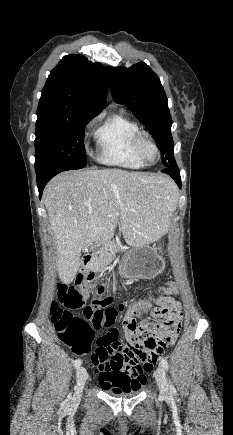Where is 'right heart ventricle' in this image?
<instances>
[{
    "instance_id": "right-heart-ventricle-1",
    "label": "right heart ventricle",
    "mask_w": 233,
    "mask_h": 435,
    "mask_svg": "<svg viewBox=\"0 0 233 435\" xmlns=\"http://www.w3.org/2000/svg\"><path fill=\"white\" fill-rule=\"evenodd\" d=\"M138 132L137 123L123 112L108 116L94 133L100 150L98 159L108 165L129 169L143 168L146 164L135 146Z\"/></svg>"
}]
</instances>
